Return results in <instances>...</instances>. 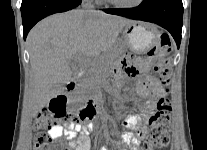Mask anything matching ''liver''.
<instances>
[{"instance_id":"6515ba94","label":"liver","mask_w":207,"mask_h":150,"mask_svg":"<svg viewBox=\"0 0 207 150\" xmlns=\"http://www.w3.org/2000/svg\"><path fill=\"white\" fill-rule=\"evenodd\" d=\"M131 20L99 11L71 10L40 21L27 37L31 75L24 107L35 117L61 94L73 75L76 57L91 60L110 52Z\"/></svg>"}]
</instances>
